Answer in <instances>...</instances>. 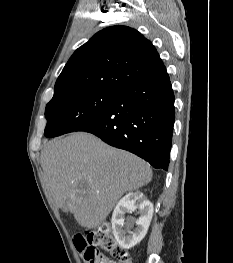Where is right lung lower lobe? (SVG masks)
<instances>
[{
  "label": "right lung lower lobe",
  "instance_id": "1",
  "mask_svg": "<svg viewBox=\"0 0 233 263\" xmlns=\"http://www.w3.org/2000/svg\"><path fill=\"white\" fill-rule=\"evenodd\" d=\"M174 93L167 72L118 91L108 107L75 131L93 133L130 151L154 168L168 170Z\"/></svg>",
  "mask_w": 233,
  "mask_h": 263
}]
</instances>
